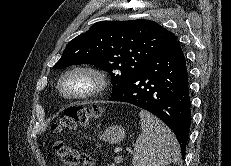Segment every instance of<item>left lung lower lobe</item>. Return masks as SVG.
<instances>
[{
    "instance_id": "left-lung-lower-lobe-1",
    "label": "left lung lower lobe",
    "mask_w": 231,
    "mask_h": 166,
    "mask_svg": "<svg viewBox=\"0 0 231 166\" xmlns=\"http://www.w3.org/2000/svg\"><path fill=\"white\" fill-rule=\"evenodd\" d=\"M109 100L136 105L159 117L176 135L184 157L191 106L186 59L175 35Z\"/></svg>"
}]
</instances>
